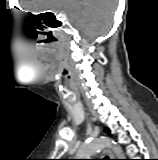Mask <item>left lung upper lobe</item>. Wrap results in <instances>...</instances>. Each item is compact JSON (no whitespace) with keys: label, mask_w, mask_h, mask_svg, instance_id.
Instances as JSON below:
<instances>
[{"label":"left lung upper lobe","mask_w":158,"mask_h":160,"mask_svg":"<svg viewBox=\"0 0 158 160\" xmlns=\"http://www.w3.org/2000/svg\"><path fill=\"white\" fill-rule=\"evenodd\" d=\"M106 133L110 134V130L108 128H105L104 130Z\"/></svg>","instance_id":"left-lung-upper-lobe-1"}]
</instances>
